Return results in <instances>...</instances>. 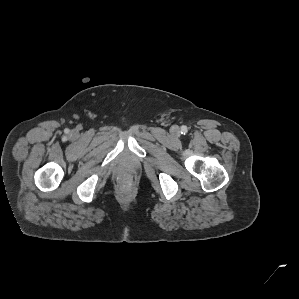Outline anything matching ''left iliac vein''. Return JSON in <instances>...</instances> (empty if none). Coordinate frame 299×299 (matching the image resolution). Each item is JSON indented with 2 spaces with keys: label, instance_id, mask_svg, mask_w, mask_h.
Returning <instances> with one entry per match:
<instances>
[{
  "label": "left iliac vein",
  "instance_id": "obj_1",
  "mask_svg": "<svg viewBox=\"0 0 299 299\" xmlns=\"http://www.w3.org/2000/svg\"><path fill=\"white\" fill-rule=\"evenodd\" d=\"M179 132H180V129H179L178 126H174V127L172 128V133H173V134H179Z\"/></svg>",
  "mask_w": 299,
  "mask_h": 299
}]
</instances>
